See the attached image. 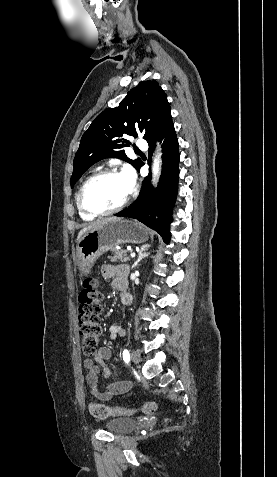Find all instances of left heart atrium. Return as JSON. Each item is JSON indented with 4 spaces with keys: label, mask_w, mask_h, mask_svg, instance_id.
<instances>
[{
    "label": "left heart atrium",
    "mask_w": 277,
    "mask_h": 477,
    "mask_svg": "<svg viewBox=\"0 0 277 477\" xmlns=\"http://www.w3.org/2000/svg\"><path fill=\"white\" fill-rule=\"evenodd\" d=\"M122 176L127 185L128 191L131 192L136 185V175L132 168L126 167L122 173Z\"/></svg>",
    "instance_id": "1"
}]
</instances>
